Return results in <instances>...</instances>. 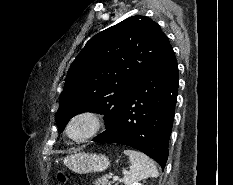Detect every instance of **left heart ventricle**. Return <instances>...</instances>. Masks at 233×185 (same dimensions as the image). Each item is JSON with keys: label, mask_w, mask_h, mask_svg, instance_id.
Here are the masks:
<instances>
[{"label": "left heart ventricle", "mask_w": 233, "mask_h": 185, "mask_svg": "<svg viewBox=\"0 0 233 185\" xmlns=\"http://www.w3.org/2000/svg\"><path fill=\"white\" fill-rule=\"evenodd\" d=\"M92 128V122L89 119L81 118L76 120L70 129L73 138H81L86 135Z\"/></svg>", "instance_id": "left-heart-ventricle-1"}]
</instances>
